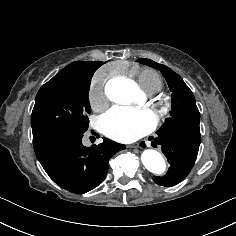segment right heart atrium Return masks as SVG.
I'll return each mask as SVG.
<instances>
[{
	"label": "right heart atrium",
	"instance_id": "d8ad5b80",
	"mask_svg": "<svg viewBox=\"0 0 236 236\" xmlns=\"http://www.w3.org/2000/svg\"><path fill=\"white\" fill-rule=\"evenodd\" d=\"M109 79V70L100 69L97 71L90 84V102L96 107L106 106L108 103V96L106 92L107 82Z\"/></svg>",
	"mask_w": 236,
	"mask_h": 236
}]
</instances>
